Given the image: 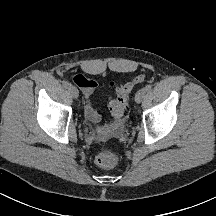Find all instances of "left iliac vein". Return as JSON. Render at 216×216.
Instances as JSON below:
<instances>
[{"label": "left iliac vein", "mask_w": 216, "mask_h": 216, "mask_svg": "<svg viewBox=\"0 0 216 216\" xmlns=\"http://www.w3.org/2000/svg\"><path fill=\"white\" fill-rule=\"evenodd\" d=\"M145 93V89H140L135 95V102L140 103L143 100Z\"/></svg>", "instance_id": "4c4485c4"}]
</instances>
